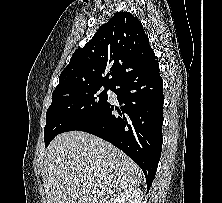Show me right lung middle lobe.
Returning a JSON list of instances; mask_svg holds the SVG:
<instances>
[{
    "instance_id": "1",
    "label": "right lung middle lobe",
    "mask_w": 222,
    "mask_h": 203,
    "mask_svg": "<svg viewBox=\"0 0 222 203\" xmlns=\"http://www.w3.org/2000/svg\"><path fill=\"white\" fill-rule=\"evenodd\" d=\"M84 85L55 91L46 112L45 147L72 123L88 116L108 100L110 86Z\"/></svg>"
}]
</instances>
